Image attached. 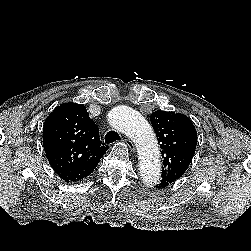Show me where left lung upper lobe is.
I'll return each mask as SVG.
<instances>
[{
	"label": "left lung upper lobe",
	"mask_w": 251,
	"mask_h": 251,
	"mask_svg": "<svg viewBox=\"0 0 251 251\" xmlns=\"http://www.w3.org/2000/svg\"><path fill=\"white\" fill-rule=\"evenodd\" d=\"M162 149V182L174 183L192 161L197 144V132L192 121L175 112L155 111L150 117Z\"/></svg>",
	"instance_id": "1"
}]
</instances>
